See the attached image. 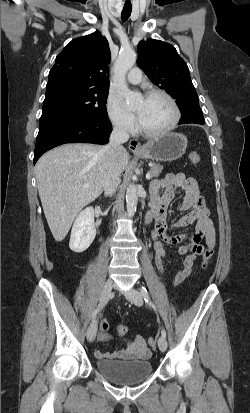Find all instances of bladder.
<instances>
[{
  "label": "bladder",
  "mask_w": 250,
  "mask_h": 413,
  "mask_svg": "<svg viewBox=\"0 0 250 413\" xmlns=\"http://www.w3.org/2000/svg\"><path fill=\"white\" fill-rule=\"evenodd\" d=\"M100 373L120 385H132L144 381L152 373L149 360H122L102 358L95 362Z\"/></svg>",
  "instance_id": "bladder-1"
}]
</instances>
